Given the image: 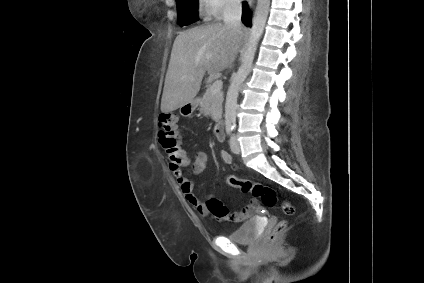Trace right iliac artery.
<instances>
[{
	"label": "right iliac artery",
	"instance_id": "1",
	"mask_svg": "<svg viewBox=\"0 0 424 283\" xmlns=\"http://www.w3.org/2000/svg\"><path fill=\"white\" fill-rule=\"evenodd\" d=\"M233 129H234V126H227V127H226V132H227V134H228V135H231V133H232Z\"/></svg>",
	"mask_w": 424,
	"mask_h": 283
}]
</instances>
